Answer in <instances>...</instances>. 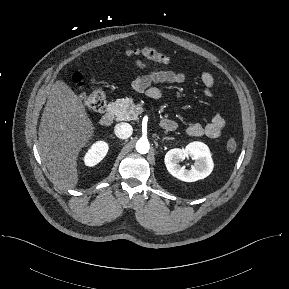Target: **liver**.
<instances>
[{
	"label": "liver",
	"mask_w": 289,
	"mask_h": 289,
	"mask_svg": "<svg viewBox=\"0 0 289 289\" xmlns=\"http://www.w3.org/2000/svg\"><path fill=\"white\" fill-rule=\"evenodd\" d=\"M82 100L63 81L49 92L38 132V145L54 185L75 188L78 184L77 158L94 134Z\"/></svg>",
	"instance_id": "6515ba94"
}]
</instances>
